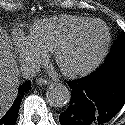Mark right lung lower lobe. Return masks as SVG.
I'll use <instances>...</instances> for the list:
<instances>
[{
  "instance_id": "right-lung-lower-lobe-1",
  "label": "right lung lower lobe",
  "mask_w": 125,
  "mask_h": 125,
  "mask_svg": "<svg viewBox=\"0 0 125 125\" xmlns=\"http://www.w3.org/2000/svg\"><path fill=\"white\" fill-rule=\"evenodd\" d=\"M31 89L30 81L25 82L22 84L18 89V95L10 107V109L5 113V115L0 118V125H14L20 108V104L22 101V96Z\"/></svg>"
}]
</instances>
